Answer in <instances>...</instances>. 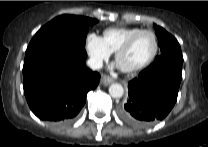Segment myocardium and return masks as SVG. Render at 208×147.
I'll list each match as a JSON object with an SVG mask.
<instances>
[{"label":"myocardium","instance_id":"1","mask_svg":"<svg viewBox=\"0 0 208 147\" xmlns=\"http://www.w3.org/2000/svg\"><path fill=\"white\" fill-rule=\"evenodd\" d=\"M148 33L150 34L153 39H154V43H155V47H154V51L152 53V55L150 56V58L145 61L142 64L136 65V66H124L121 65L119 63V59L120 57L131 47V45L133 44V42L136 40L137 37H139L142 34ZM159 52V40L157 35L155 34V32H153L152 30H147V29H141L140 31L132 34L116 51H115V60L118 63V66L120 68V70H122L125 73H135L138 71H141L147 67H149L154 60L156 59L157 55Z\"/></svg>","mask_w":208,"mask_h":147}]
</instances>
